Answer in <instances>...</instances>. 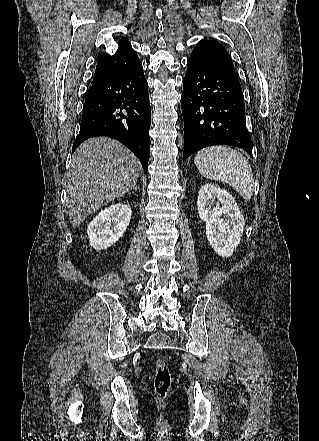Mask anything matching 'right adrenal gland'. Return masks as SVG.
I'll list each match as a JSON object with an SVG mask.
<instances>
[{"mask_svg":"<svg viewBox=\"0 0 319 441\" xmlns=\"http://www.w3.org/2000/svg\"><path fill=\"white\" fill-rule=\"evenodd\" d=\"M134 190L137 191V185L134 187Z\"/></svg>","mask_w":319,"mask_h":441,"instance_id":"1","label":"right adrenal gland"}]
</instances>
